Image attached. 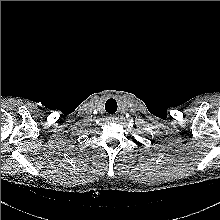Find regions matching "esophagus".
Returning a JSON list of instances; mask_svg holds the SVG:
<instances>
[{"label":"esophagus","mask_w":220,"mask_h":220,"mask_svg":"<svg viewBox=\"0 0 220 220\" xmlns=\"http://www.w3.org/2000/svg\"><path fill=\"white\" fill-rule=\"evenodd\" d=\"M109 119H110V121H114V120H116V117L115 116H111V117H109Z\"/></svg>","instance_id":"esophagus-1"}]
</instances>
